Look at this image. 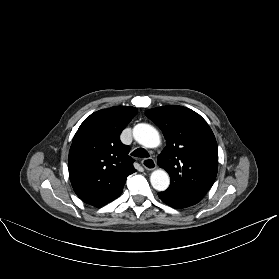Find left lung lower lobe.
Segmentation results:
<instances>
[{
	"mask_svg": "<svg viewBox=\"0 0 279 279\" xmlns=\"http://www.w3.org/2000/svg\"><path fill=\"white\" fill-rule=\"evenodd\" d=\"M158 196L163 202H165L166 204H168L173 208H186L195 205L199 202V200L197 199L171 193L168 191L159 192Z\"/></svg>",
	"mask_w": 279,
	"mask_h": 279,
	"instance_id": "obj_1",
	"label": "left lung lower lobe"
}]
</instances>
